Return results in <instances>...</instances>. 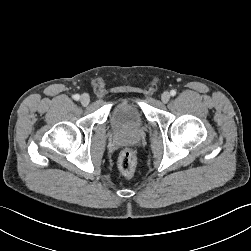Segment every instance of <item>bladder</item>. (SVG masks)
<instances>
[{
    "label": "bladder",
    "mask_w": 251,
    "mask_h": 251,
    "mask_svg": "<svg viewBox=\"0 0 251 251\" xmlns=\"http://www.w3.org/2000/svg\"><path fill=\"white\" fill-rule=\"evenodd\" d=\"M109 121L113 129L123 132H138L145 123L141 109L134 102H120L114 105Z\"/></svg>",
    "instance_id": "31cf9c89"
}]
</instances>
